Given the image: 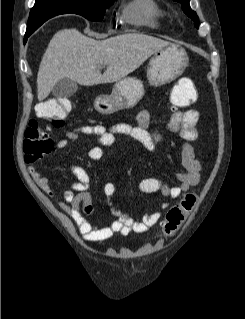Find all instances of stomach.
<instances>
[{
  "label": "stomach",
  "mask_w": 245,
  "mask_h": 319,
  "mask_svg": "<svg viewBox=\"0 0 245 319\" xmlns=\"http://www.w3.org/2000/svg\"><path fill=\"white\" fill-rule=\"evenodd\" d=\"M188 56L183 48L175 44L155 52L147 66L149 84L165 85L183 73L188 66ZM144 95L140 79L127 77L115 83L110 95H99L94 101L95 109L101 114H112L134 107Z\"/></svg>",
  "instance_id": "0dacf381"
}]
</instances>
